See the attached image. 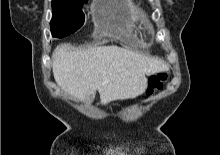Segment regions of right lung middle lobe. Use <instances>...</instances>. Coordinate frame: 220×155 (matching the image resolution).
Segmentation results:
<instances>
[{
  "label": "right lung middle lobe",
  "mask_w": 220,
  "mask_h": 155,
  "mask_svg": "<svg viewBox=\"0 0 220 155\" xmlns=\"http://www.w3.org/2000/svg\"><path fill=\"white\" fill-rule=\"evenodd\" d=\"M87 1H52V20L50 22L53 37L62 38L77 31L84 23L82 5Z\"/></svg>",
  "instance_id": "dd1d6c3e"
}]
</instances>
